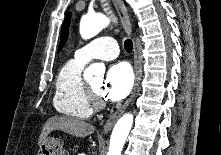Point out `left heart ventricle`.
Returning a JSON list of instances; mask_svg holds the SVG:
<instances>
[{
    "mask_svg": "<svg viewBox=\"0 0 221 155\" xmlns=\"http://www.w3.org/2000/svg\"><path fill=\"white\" fill-rule=\"evenodd\" d=\"M88 84L91 86V88L98 94H101V88H102V84H103V80L101 78H97L94 79L90 82H88Z\"/></svg>",
    "mask_w": 221,
    "mask_h": 155,
    "instance_id": "b2bd125f",
    "label": "left heart ventricle"
}]
</instances>
